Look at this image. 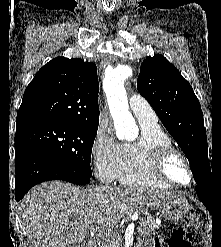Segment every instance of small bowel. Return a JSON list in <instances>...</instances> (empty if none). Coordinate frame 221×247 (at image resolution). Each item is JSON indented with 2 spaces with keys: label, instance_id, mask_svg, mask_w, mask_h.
<instances>
[{
  "label": "small bowel",
  "instance_id": "c3829d8e",
  "mask_svg": "<svg viewBox=\"0 0 221 247\" xmlns=\"http://www.w3.org/2000/svg\"><path fill=\"white\" fill-rule=\"evenodd\" d=\"M140 247H160V246L157 245V244H153V243L147 242V243L141 245Z\"/></svg>",
  "mask_w": 221,
  "mask_h": 247
}]
</instances>
